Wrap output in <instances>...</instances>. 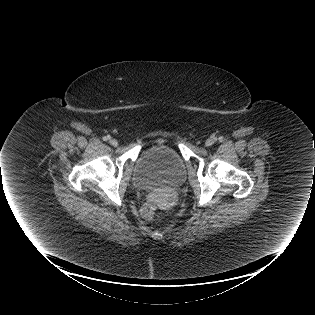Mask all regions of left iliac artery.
Segmentation results:
<instances>
[{
	"label": "left iliac artery",
	"mask_w": 315,
	"mask_h": 315,
	"mask_svg": "<svg viewBox=\"0 0 315 315\" xmlns=\"http://www.w3.org/2000/svg\"><path fill=\"white\" fill-rule=\"evenodd\" d=\"M219 141H223V137H219Z\"/></svg>",
	"instance_id": "obj_1"
}]
</instances>
